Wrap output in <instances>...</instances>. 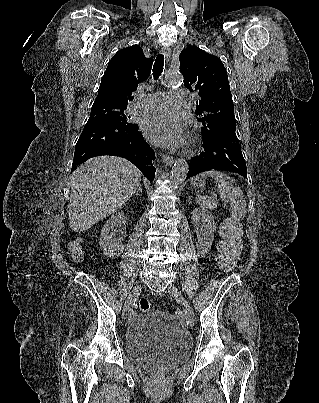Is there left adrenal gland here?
Masks as SVG:
<instances>
[{"label":"left adrenal gland","instance_id":"obj_1","mask_svg":"<svg viewBox=\"0 0 319 403\" xmlns=\"http://www.w3.org/2000/svg\"><path fill=\"white\" fill-rule=\"evenodd\" d=\"M188 201L190 202V197L188 198Z\"/></svg>","mask_w":319,"mask_h":403}]
</instances>
